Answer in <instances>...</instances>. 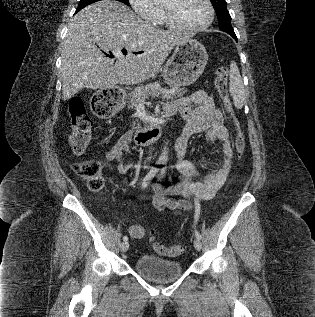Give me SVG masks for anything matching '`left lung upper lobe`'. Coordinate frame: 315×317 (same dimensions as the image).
<instances>
[{
  "instance_id": "obj_1",
  "label": "left lung upper lobe",
  "mask_w": 315,
  "mask_h": 317,
  "mask_svg": "<svg viewBox=\"0 0 315 317\" xmlns=\"http://www.w3.org/2000/svg\"><path fill=\"white\" fill-rule=\"evenodd\" d=\"M216 11L217 18L219 20L220 30L230 34L235 35V32L231 25V16L226 7L225 0H210Z\"/></svg>"
}]
</instances>
